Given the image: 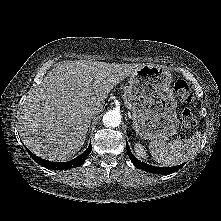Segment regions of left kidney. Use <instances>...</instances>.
<instances>
[{
    "label": "left kidney",
    "mask_w": 221,
    "mask_h": 221,
    "mask_svg": "<svg viewBox=\"0 0 221 221\" xmlns=\"http://www.w3.org/2000/svg\"><path fill=\"white\" fill-rule=\"evenodd\" d=\"M134 150H135V153L138 157L143 158V159L147 158V153L141 144L136 143L134 146Z\"/></svg>",
    "instance_id": "obj_1"
}]
</instances>
